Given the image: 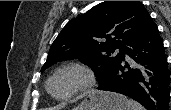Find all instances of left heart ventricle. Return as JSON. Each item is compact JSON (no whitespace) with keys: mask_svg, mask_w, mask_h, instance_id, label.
<instances>
[{"mask_svg":"<svg viewBox=\"0 0 171 110\" xmlns=\"http://www.w3.org/2000/svg\"><path fill=\"white\" fill-rule=\"evenodd\" d=\"M80 80L76 72H66L58 75L51 83L50 90L55 96H63L72 89Z\"/></svg>","mask_w":171,"mask_h":110,"instance_id":"b2bd125f","label":"left heart ventricle"}]
</instances>
